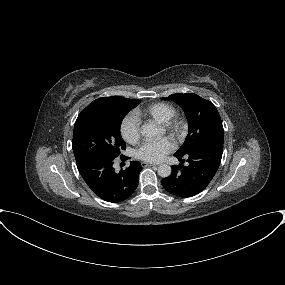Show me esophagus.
<instances>
[{
	"mask_svg": "<svg viewBox=\"0 0 285 285\" xmlns=\"http://www.w3.org/2000/svg\"><path fill=\"white\" fill-rule=\"evenodd\" d=\"M158 164H155V163H147V162H143L142 163V166L143 167H149V166H157Z\"/></svg>",
	"mask_w": 285,
	"mask_h": 285,
	"instance_id": "34e87169",
	"label": "esophagus"
}]
</instances>
